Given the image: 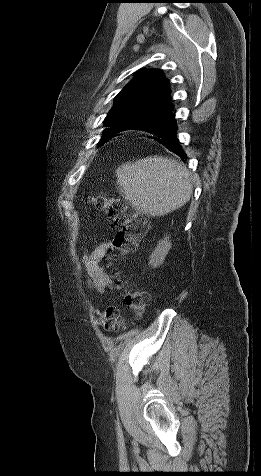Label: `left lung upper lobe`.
<instances>
[{"label":"left lung upper lobe","instance_id":"1","mask_svg":"<svg viewBox=\"0 0 261 476\" xmlns=\"http://www.w3.org/2000/svg\"><path fill=\"white\" fill-rule=\"evenodd\" d=\"M173 109L168 80L160 70H141L115 97L114 106L105 118V134L133 121L159 117ZM102 137V138H103ZM102 140V139H101Z\"/></svg>","mask_w":261,"mask_h":476}]
</instances>
